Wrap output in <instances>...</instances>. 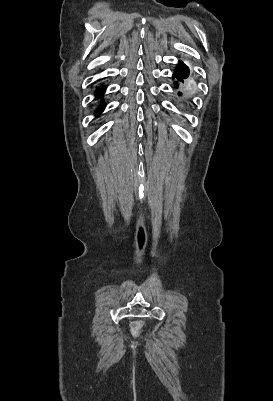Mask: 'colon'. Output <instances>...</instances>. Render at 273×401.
I'll use <instances>...</instances> for the list:
<instances>
[{"mask_svg":"<svg viewBox=\"0 0 273 401\" xmlns=\"http://www.w3.org/2000/svg\"><path fill=\"white\" fill-rule=\"evenodd\" d=\"M147 322L144 319H134L132 322V327H131V332L130 335L134 337V339H137V336H139L142 328L146 327Z\"/></svg>","mask_w":273,"mask_h":401,"instance_id":"colon-1","label":"colon"}]
</instances>
